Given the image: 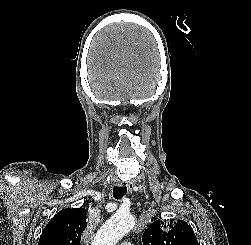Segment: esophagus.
<instances>
[{
	"label": "esophagus",
	"instance_id": "esophagus-1",
	"mask_svg": "<svg viewBox=\"0 0 251 245\" xmlns=\"http://www.w3.org/2000/svg\"><path fill=\"white\" fill-rule=\"evenodd\" d=\"M118 185H119L120 187H127L129 190H131L132 187H133V183L130 182V181L119 182Z\"/></svg>",
	"mask_w": 251,
	"mask_h": 245
}]
</instances>
